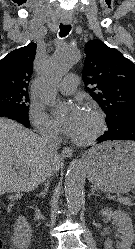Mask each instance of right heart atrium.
Wrapping results in <instances>:
<instances>
[{
    "label": "right heart atrium",
    "mask_w": 135,
    "mask_h": 249,
    "mask_svg": "<svg viewBox=\"0 0 135 249\" xmlns=\"http://www.w3.org/2000/svg\"><path fill=\"white\" fill-rule=\"evenodd\" d=\"M29 117L36 130L45 135L58 136L61 129L58 124L46 113L40 103H32L29 110Z\"/></svg>",
    "instance_id": "d8ad5b80"
}]
</instances>
